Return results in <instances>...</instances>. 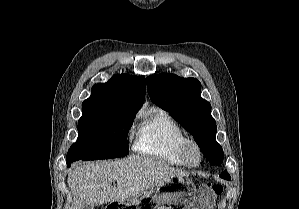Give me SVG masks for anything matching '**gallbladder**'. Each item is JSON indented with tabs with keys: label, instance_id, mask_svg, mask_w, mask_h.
I'll return each mask as SVG.
<instances>
[{
	"label": "gallbladder",
	"instance_id": "gallbladder-1",
	"mask_svg": "<svg viewBox=\"0 0 299 209\" xmlns=\"http://www.w3.org/2000/svg\"><path fill=\"white\" fill-rule=\"evenodd\" d=\"M82 209H94V208L92 206H90V205H84L82 207Z\"/></svg>",
	"mask_w": 299,
	"mask_h": 209
}]
</instances>
